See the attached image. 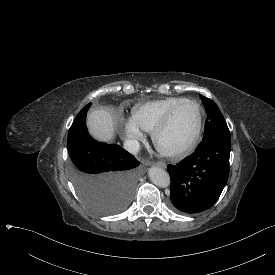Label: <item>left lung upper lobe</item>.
Segmentation results:
<instances>
[{
	"label": "left lung upper lobe",
	"instance_id": "left-lung-upper-lobe-1",
	"mask_svg": "<svg viewBox=\"0 0 275 275\" xmlns=\"http://www.w3.org/2000/svg\"><path fill=\"white\" fill-rule=\"evenodd\" d=\"M207 111V121L204 128L203 141L219 135H230L228 126L218 106L209 98L200 95Z\"/></svg>",
	"mask_w": 275,
	"mask_h": 275
}]
</instances>
